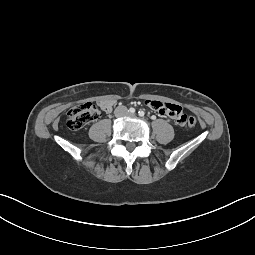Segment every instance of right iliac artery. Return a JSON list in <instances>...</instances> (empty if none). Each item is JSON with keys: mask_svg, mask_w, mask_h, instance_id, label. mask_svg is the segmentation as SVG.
I'll return each instance as SVG.
<instances>
[{"mask_svg": "<svg viewBox=\"0 0 255 255\" xmlns=\"http://www.w3.org/2000/svg\"><path fill=\"white\" fill-rule=\"evenodd\" d=\"M129 112H130L131 114H134V113H135V109H134L133 107H131V108L129 109Z\"/></svg>", "mask_w": 255, "mask_h": 255, "instance_id": "1", "label": "right iliac artery"}]
</instances>
